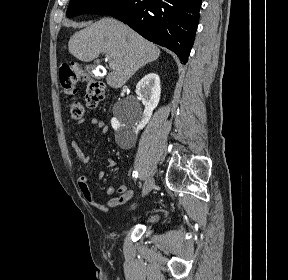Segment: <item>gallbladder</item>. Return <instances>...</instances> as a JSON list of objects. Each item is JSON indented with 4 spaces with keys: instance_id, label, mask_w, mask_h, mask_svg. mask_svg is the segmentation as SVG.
Segmentation results:
<instances>
[{
    "instance_id": "bac80fb5",
    "label": "gallbladder",
    "mask_w": 288,
    "mask_h": 280,
    "mask_svg": "<svg viewBox=\"0 0 288 280\" xmlns=\"http://www.w3.org/2000/svg\"><path fill=\"white\" fill-rule=\"evenodd\" d=\"M85 69H86L87 71H89V70L91 69V66H90V65H86V66H85Z\"/></svg>"
}]
</instances>
